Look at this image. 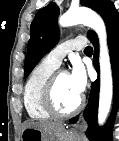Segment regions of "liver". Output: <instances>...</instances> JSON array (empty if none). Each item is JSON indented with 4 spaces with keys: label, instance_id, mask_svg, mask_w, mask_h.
Returning a JSON list of instances; mask_svg holds the SVG:
<instances>
[{
    "label": "liver",
    "instance_id": "1",
    "mask_svg": "<svg viewBox=\"0 0 119 141\" xmlns=\"http://www.w3.org/2000/svg\"><path fill=\"white\" fill-rule=\"evenodd\" d=\"M27 127H38L40 129L51 130V131H58L64 129L63 124L57 122H48V121L26 122L23 125V130Z\"/></svg>",
    "mask_w": 119,
    "mask_h": 141
}]
</instances>
